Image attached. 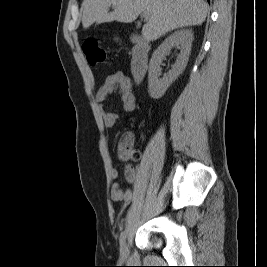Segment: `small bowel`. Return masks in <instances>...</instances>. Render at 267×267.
Wrapping results in <instances>:
<instances>
[{"label":"small bowel","mask_w":267,"mask_h":267,"mask_svg":"<svg viewBox=\"0 0 267 267\" xmlns=\"http://www.w3.org/2000/svg\"><path fill=\"white\" fill-rule=\"evenodd\" d=\"M117 91L122 102L121 109L125 112H132L136 108V97L133 92V85L131 79L122 72H116L109 75L102 86L96 93L98 102H104L108 96ZM118 115L115 112L104 111L103 122L108 129L115 127ZM113 179L119 178V171L115 168L111 170ZM136 181V174L132 166H127L125 169V182L129 185ZM111 197L114 201H123L128 204L133 198V192L130 189L124 190L120 184L114 183L111 189Z\"/></svg>","instance_id":"c3829d8e"}]
</instances>
